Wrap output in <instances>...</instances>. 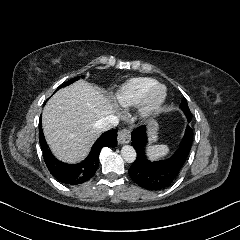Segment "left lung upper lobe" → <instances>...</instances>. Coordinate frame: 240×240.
Instances as JSON below:
<instances>
[{"label": "left lung upper lobe", "mask_w": 240, "mask_h": 240, "mask_svg": "<svg viewBox=\"0 0 240 240\" xmlns=\"http://www.w3.org/2000/svg\"><path fill=\"white\" fill-rule=\"evenodd\" d=\"M181 108L185 112L186 117L188 119V122H190L191 119H192V114H191V112L189 110V107H188V104H187V101L185 100V98L182 99Z\"/></svg>", "instance_id": "1"}]
</instances>
